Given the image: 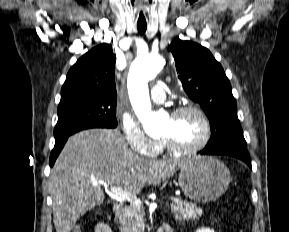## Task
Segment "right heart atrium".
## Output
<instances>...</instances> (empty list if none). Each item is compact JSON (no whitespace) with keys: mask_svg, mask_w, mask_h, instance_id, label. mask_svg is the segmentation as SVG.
I'll use <instances>...</instances> for the list:
<instances>
[{"mask_svg":"<svg viewBox=\"0 0 289 232\" xmlns=\"http://www.w3.org/2000/svg\"><path fill=\"white\" fill-rule=\"evenodd\" d=\"M121 129L134 152L148 157L156 156L160 152L162 141L149 137L131 116H123Z\"/></svg>","mask_w":289,"mask_h":232,"instance_id":"obj_1","label":"right heart atrium"}]
</instances>
